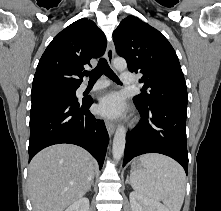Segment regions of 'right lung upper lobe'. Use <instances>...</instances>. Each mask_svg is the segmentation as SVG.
Returning <instances> with one entry per match:
<instances>
[{"mask_svg": "<svg viewBox=\"0 0 221 211\" xmlns=\"http://www.w3.org/2000/svg\"><path fill=\"white\" fill-rule=\"evenodd\" d=\"M104 33L92 20L79 19L62 30L39 60L32 91L47 88H78L85 66L106 49Z\"/></svg>", "mask_w": 221, "mask_h": 211, "instance_id": "cb5924a9", "label": "right lung upper lobe"}]
</instances>
